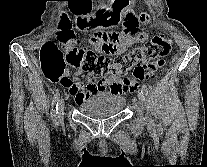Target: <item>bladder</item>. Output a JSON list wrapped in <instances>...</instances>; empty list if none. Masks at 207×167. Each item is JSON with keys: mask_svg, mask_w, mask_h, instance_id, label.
Wrapping results in <instances>:
<instances>
[{"mask_svg": "<svg viewBox=\"0 0 207 167\" xmlns=\"http://www.w3.org/2000/svg\"><path fill=\"white\" fill-rule=\"evenodd\" d=\"M126 100L122 96L104 95L88 99L78 106V111L91 118L102 119L122 112Z\"/></svg>", "mask_w": 207, "mask_h": 167, "instance_id": "31cf9c89", "label": "bladder"}]
</instances>
